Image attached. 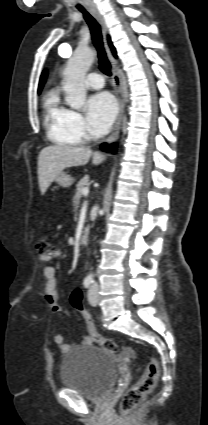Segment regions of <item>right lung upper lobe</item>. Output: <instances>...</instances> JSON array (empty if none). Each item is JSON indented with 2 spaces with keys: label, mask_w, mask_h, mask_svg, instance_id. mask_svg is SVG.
<instances>
[{
  "label": "right lung upper lobe",
  "mask_w": 208,
  "mask_h": 425,
  "mask_svg": "<svg viewBox=\"0 0 208 425\" xmlns=\"http://www.w3.org/2000/svg\"><path fill=\"white\" fill-rule=\"evenodd\" d=\"M108 40H109V45H110V48H111V50H112V52H113V55L116 57L115 49H114V47L112 46V44H111V42H110V39H109V38H108ZM46 76H47V71H44V72L42 73V75H41V78H40V84H39V90H38V92H39V93H40V91H41V89H42L43 84L45 83Z\"/></svg>",
  "instance_id": "right-lung-upper-lobe-1"
}]
</instances>
